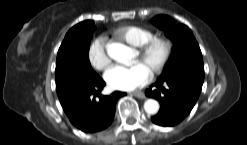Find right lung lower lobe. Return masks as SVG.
Returning <instances> with one entry per match:
<instances>
[{
    "label": "right lung lower lobe",
    "instance_id": "obj_1",
    "mask_svg": "<svg viewBox=\"0 0 247 145\" xmlns=\"http://www.w3.org/2000/svg\"><path fill=\"white\" fill-rule=\"evenodd\" d=\"M105 82L99 77L77 78L57 86V94L70 122L81 131L93 133L107 128L113 121L118 98L114 92L100 96ZM98 96L99 99H95Z\"/></svg>",
    "mask_w": 247,
    "mask_h": 145
}]
</instances>
